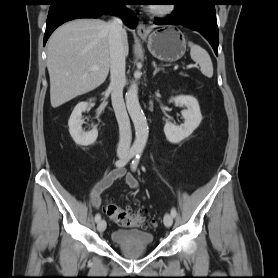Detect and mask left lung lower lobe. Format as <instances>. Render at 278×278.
<instances>
[{"instance_id": "1", "label": "left lung lower lobe", "mask_w": 278, "mask_h": 278, "mask_svg": "<svg viewBox=\"0 0 278 278\" xmlns=\"http://www.w3.org/2000/svg\"><path fill=\"white\" fill-rule=\"evenodd\" d=\"M172 14L153 21L156 25L183 26L201 33L211 44L216 55L218 49V27L215 0H180Z\"/></svg>"}]
</instances>
